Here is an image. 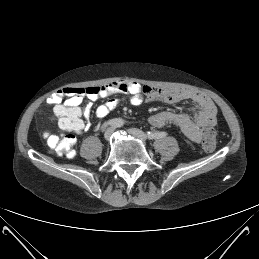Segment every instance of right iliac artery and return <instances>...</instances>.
I'll use <instances>...</instances> for the list:
<instances>
[{"mask_svg": "<svg viewBox=\"0 0 259 259\" xmlns=\"http://www.w3.org/2000/svg\"><path fill=\"white\" fill-rule=\"evenodd\" d=\"M116 121H121V122L124 123V120L121 119V118L111 119V120L105 122V123L102 125L101 130L104 131V129H105L106 127L112 126V124H113L114 122H116Z\"/></svg>", "mask_w": 259, "mask_h": 259, "instance_id": "right-iliac-artery-1", "label": "right iliac artery"}]
</instances>
